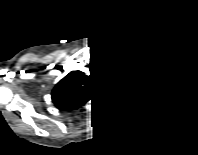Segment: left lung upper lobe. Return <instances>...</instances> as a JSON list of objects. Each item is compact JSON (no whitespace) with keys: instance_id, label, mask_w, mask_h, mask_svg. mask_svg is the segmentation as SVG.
Returning <instances> with one entry per match:
<instances>
[{"instance_id":"obj_1","label":"left lung upper lobe","mask_w":198,"mask_h":155,"mask_svg":"<svg viewBox=\"0 0 198 155\" xmlns=\"http://www.w3.org/2000/svg\"><path fill=\"white\" fill-rule=\"evenodd\" d=\"M120 88L124 98L136 107L152 106L164 95L160 83L139 69H132Z\"/></svg>"}]
</instances>
